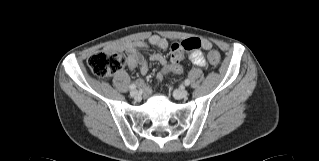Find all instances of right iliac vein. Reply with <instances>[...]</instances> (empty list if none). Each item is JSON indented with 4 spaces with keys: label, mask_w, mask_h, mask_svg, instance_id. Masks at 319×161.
Returning <instances> with one entry per match:
<instances>
[{
    "label": "right iliac vein",
    "mask_w": 319,
    "mask_h": 161,
    "mask_svg": "<svg viewBox=\"0 0 319 161\" xmlns=\"http://www.w3.org/2000/svg\"><path fill=\"white\" fill-rule=\"evenodd\" d=\"M130 96L133 98H138L139 97V92L137 90H133L130 92Z\"/></svg>",
    "instance_id": "right-iliac-vein-1"
}]
</instances>
